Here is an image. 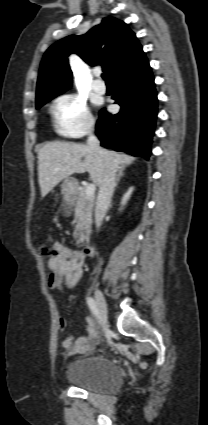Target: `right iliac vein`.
Returning a JSON list of instances; mask_svg holds the SVG:
<instances>
[{"mask_svg":"<svg viewBox=\"0 0 208 425\" xmlns=\"http://www.w3.org/2000/svg\"><path fill=\"white\" fill-rule=\"evenodd\" d=\"M95 300H96L97 311H98L100 322L102 325H106L107 314H108L107 303L105 301V298L102 292L98 289H96L95 291Z\"/></svg>","mask_w":208,"mask_h":425,"instance_id":"right-iliac-vein-1","label":"right iliac vein"}]
</instances>
